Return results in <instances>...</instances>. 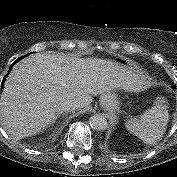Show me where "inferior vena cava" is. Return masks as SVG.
I'll return each instance as SVG.
<instances>
[{"instance_id": "inferior-vena-cava-1", "label": "inferior vena cava", "mask_w": 177, "mask_h": 177, "mask_svg": "<svg viewBox=\"0 0 177 177\" xmlns=\"http://www.w3.org/2000/svg\"><path fill=\"white\" fill-rule=\"evenodd\" d=\"M76 109H79V104L71 100H66L59 106V112H71Z\"/></svg>"}]
</instances>
